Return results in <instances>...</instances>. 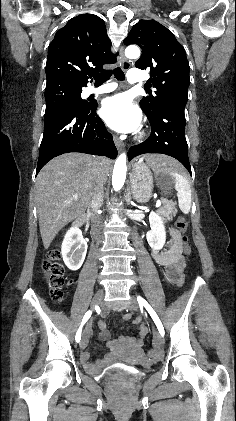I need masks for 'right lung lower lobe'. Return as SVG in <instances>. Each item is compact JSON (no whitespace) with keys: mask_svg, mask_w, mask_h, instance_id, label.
Instances as JSON below:
<instances>
[{"mask_svg":"<svg viewBox=\"0 0 236 421\" xmlns=\"http://www.w3.org/2000/svg\"><path fill=\"white\" fill-rule=\"evenodd\" d=\"M97 106L94 101L87 102L83 108L61 106L45 111L36 175L48 161L64 153L82 152L116 158L117 149L96 114Z\"/></svg>","mask_w":236,"mask_h":421,"instance_id":"right-lung-lower-lobe-1","label":"right lung lower lobe"}]
</instances>
